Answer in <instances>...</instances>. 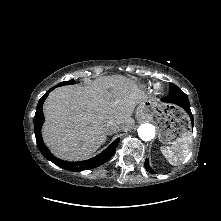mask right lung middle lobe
<instances>
[{
	"instance_id": "obj_1",
	"label": "right lung middle lobe",
	"mask_w": 221,
	"mask_h": 221,
	"mask_svg": "<svg viewBox=\"0 0 221 221\" xmlns=\"http://www.w3.org/2000/svg\"><path fill=\"white\" fill-rule=\"evenodd\" d=\"M71 84H75V81H74V80L64 81V82L59 83V84H58L57 86H55V87L64 86V85H71Z\"/></svg>"
}]
</instances>
